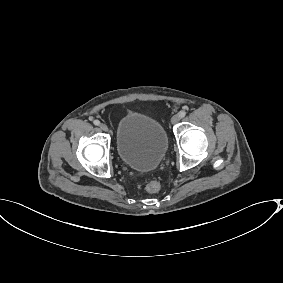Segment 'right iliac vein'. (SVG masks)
<instances>
[{"mask_svg": "<svg viewBox=\"0 0 283 283\" xmlns=\"http://www.w3.org/2000/svg\"><path fill=\"white\" fill-rule=\"evenodd\" d=\"M101 130L107 132L108 131V126L106 124H100Z\"/></svg>", "mask_w": 283, "mask_h": 283, "instance_id": "right-iliac-vein-1", "label": "right iliac vein"}]
</instances>
